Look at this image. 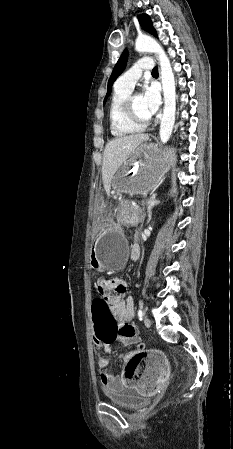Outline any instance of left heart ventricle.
I'll return each mask as SVG.
<instances>
[{"mask_svg":"<svg viewBox=\"0 0 233 449\" xmlns=\"http://www.w3.org/2000/svg\"><path fill=\"white\" fill-rule=\"evenodd\" d=\"M134 106L137 114L141 117H147L149 116L146 107L143 102L142 95L136 94L134 97Z\"/></svg>","mask_w":233,"mask_h":449,"instance_id":"obj_1","label":"left heart ventricle"}]
</instances>
